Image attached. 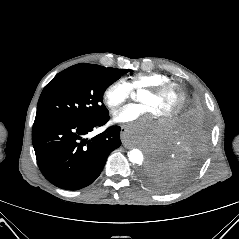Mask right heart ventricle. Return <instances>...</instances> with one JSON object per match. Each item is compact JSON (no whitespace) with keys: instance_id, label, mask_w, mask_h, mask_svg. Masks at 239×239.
<instances>
[{"instance_id":"right-heart-ventricle-1","label":"right heart ventricle","mask_w":239,"mask_h":239,"mask_svg":"<svg viewBox=\"0 0 239 239\" xmlns=\"http://www.w3.org/2000/svg\"><path fill=\"white\" fill-rule=\"evenodd\" d=\"M166 82H170V78L167 75L152 72L135 74L130 77L127 83L131 90L140 91L147 87L156 86Z\"/></svg>"}]
</instances>
